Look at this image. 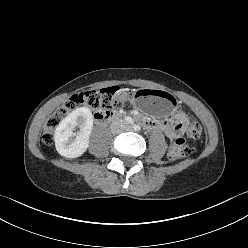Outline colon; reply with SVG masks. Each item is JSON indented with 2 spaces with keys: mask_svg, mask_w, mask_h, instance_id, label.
<instances>
[{
  "mask_svg": "<svg viewBox=\"0 0 248 248\" xmlns=\"http://www.w3.org/2000/svg\"><path fill=\"white\" fill-rule=\"evenodd\" d=\"M127 104L126 98L119 87H108L99 90H89L71 96L63 103L46 121L42 140L45 144L53 143L54 131L61 121L80 105H86L100 112H109L115 108H123ZM202 127L197 121H192L187 129V136L198 139L201 136ZM193 153L185 139L175 140L169 148L168 159L177 161Z\"/></svg>",
  "mask_w": 248,
  "mask_h": 248,
  "instance_id": "5ec220e1",
  "label": "colon"
}]
</instances>
